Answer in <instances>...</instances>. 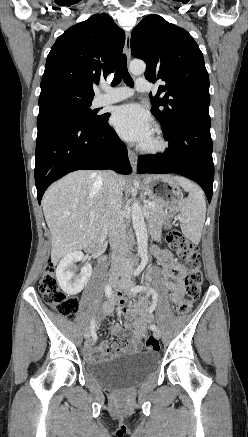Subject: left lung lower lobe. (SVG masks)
Masks as SVG:
<instances>
[{
    "label": "left lung lower lobe",
    "mask_w": 248,
    "mask_h": 437,
    "mask_svg": "<svg viewBox=\"0 0 248 437\" xmlns=\"http://www.w3.org/2000/svg\"><path fill=\"white\" fill-rule=\"evenodd\" d=\"M210 124V116L181 119L163 135L169 140L168 150L162 154L139 156L137 171L182 175L198 183L210 202L214 180Z\"/></svg>",
    "instance_id": "left-lung-lower-lobe-1"
}]
</instances>
